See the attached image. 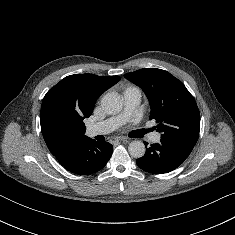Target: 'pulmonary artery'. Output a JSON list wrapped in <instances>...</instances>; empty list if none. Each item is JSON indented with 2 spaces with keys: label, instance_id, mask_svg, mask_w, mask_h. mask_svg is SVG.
<instances>
[{
  "label": "pulmonary artery",
  "instance_id": "pulmonary-artery-1",
  "mask_svg": "<svg viewBox=\"0 0 235 235\" xmlns=\"http://www.w3.org/2000/svg\"><path fill=\"white\" fill-rule=\"evenodd\" d=\"M141 99L142 92L138 87L131 86L126 88L123 93V111L116 116L89 125L87 128V134L93 137L96 135L107 134L118 129L136 114L141 103ZM160 138L161 135L158 132H155L150 136V140L153 143H158Z\"/></svg>",
  "mask_w": 235,
  "mask_h": 235
}]
</instances>
